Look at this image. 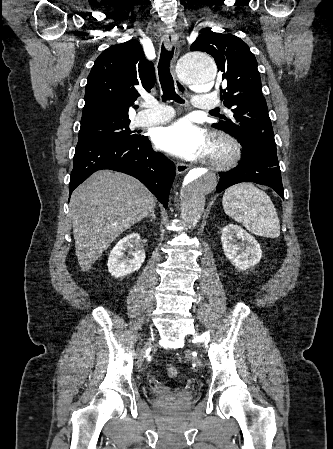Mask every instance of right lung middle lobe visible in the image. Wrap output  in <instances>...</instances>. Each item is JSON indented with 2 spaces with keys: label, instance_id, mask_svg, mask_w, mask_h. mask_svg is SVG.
<instances>
[{
  "label": "right lung middle lobe",
  "instance_id": "right-lung-middle-lobe-1",
  "mask_svg": "<svg viewBox=\"0 0 333 449\" xmlns=\"http://www.w3.org/2000/svg\"><path fill=\"white\" fill-rule=\"evenodd\" d=\"M130 120L104 122L80 128L78 143L94 140L126 141L134 143L143 138L129 129Z\"/></svg>",
  "mask_w": 333,
  "mask_h": 449
}]
</instances>
